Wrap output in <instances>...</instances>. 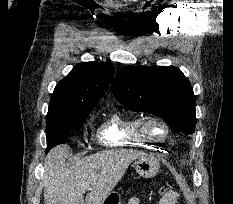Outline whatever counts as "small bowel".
<instances>
[{
    "instance_id": "c3829d8e",
    "label": "small bowel",
    "mask_w": 233,
    "mask_h": 204,
    "mask_svg": "<svg viewBox=\"0 0 233 204\" xmlns=\"http://www.w3.org/2000/svg\"><path fill=\"white\" fill-rule=\"evenodd\" d=\"M140 200L137 197H133L130 199L128 204H139Z\"/></svg>"
}]
</instances>
